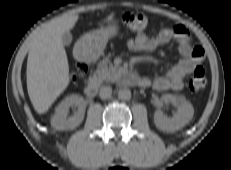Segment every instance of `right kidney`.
I'll use <instances>...</instances> for the list:
<instances>
[{
  "label": "right kidney",
  "instance_id": "1",
  "mask_svg": "<svg viewBox=\"0 0 231 170\" xmlns=\"http://www.w3.org/2000/svg\"><path fill=\"white\" fill-rule=\"evenodd\" d=\"M74 107V115L68 117L69 109ZM85 114V101L79 95L66 97L56 107L55 114L51 119V126L56 130L74 129L81 124Z\"/></svg>",
  "mask_w": 231,
  "mask_h": 170
}]
</instances>
